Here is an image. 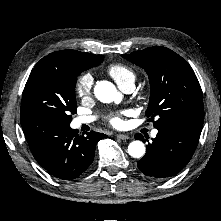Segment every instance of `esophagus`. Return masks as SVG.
<instances>
[{
	"mask_svg": "<svg viewBox=\"0 0 221 221\" xmlns=\"http://www.w3.org/2000/svg\"><path fill=\"white\" fill-rule=\"evenodd\" d=\"M116 137H117L118 139H121V140H127V139H129V136L126 135V134H117Z\"/></svg>",
	"mask_w": 221,
	"mask_h": 221,
	"instance_id": "1",
	"label": "esophagus"
}]
</instances>
